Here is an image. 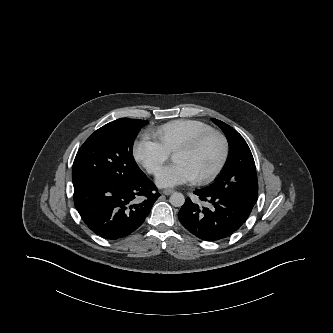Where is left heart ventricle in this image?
<instances>
[{
	"mask_svg": "<svg viewBox=\"0 0 333 333\" xmlns=\"http://www.w3.org/2000/svg\"><path fill=\"white\" fill-rule=\"evenodd\" d=\"M221 156V141L210 138L191 152L175 155L173 160L183 164L194 178H198L210 173L219 163Z\"/></svg>",
	"mask_w": 333,
	"mask_h": 333,
	"instance_id": "b2bd125f",
	"label": "left heart ventricle"
}]
</instances>
